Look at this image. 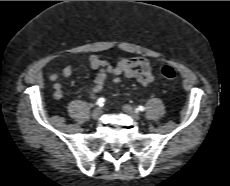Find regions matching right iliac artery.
Wrapping results in <instances>:
<instances>
[{
  "label": "right iliac artery",
  "instance_id": "right-iliac-artery-1",
  "mask_svg": "<svg viewBox=\"0 0 230 186\" xmlns=\"http://www.w3.org/2000/svg\"><path fill=\"white\" fill-rule=\"evenodd\" d=\"M104 103H105V99H104V98H99V99L97 100V102H96V104H97L98 106H103Z\"/></svg>",
  "mask_w": 230,
  "mask_h": 186
}]
</instances>
